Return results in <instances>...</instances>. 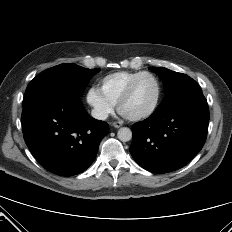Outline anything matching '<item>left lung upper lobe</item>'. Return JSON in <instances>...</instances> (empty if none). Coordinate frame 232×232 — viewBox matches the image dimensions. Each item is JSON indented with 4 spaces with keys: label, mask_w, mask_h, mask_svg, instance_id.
I'll return each mask as SVG.
<instances>
[{
    "label": "left lung upper lobe",
    "mask_w": 232,
    "mask_h": 232,
    "mask_svg": "<svg viewBox=\"0 0 232 232\" xmlns=\"http://www.w3.org/2000/svg\"><path fill=\"white\" fill-rule=\"evenodd\" d=\"M150 70L160 76L166 89L164 99L158 108L166 106L188 92L200 89L197 82L185 74L162 67H150Z\"/></svg>",
    "instance_id": "5c2ea615"
}]
</instances>
